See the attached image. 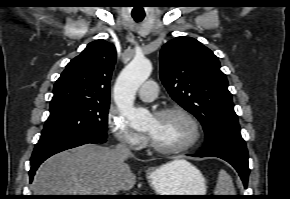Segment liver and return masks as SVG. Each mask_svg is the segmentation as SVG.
I'll return each instance as SVG.
<instances>
[{
    "instance_id": "6515ba94",
    "label": "liver",
    "mask_w": 290,
    "mask_h": 199,
    "mask_svg": "<svg viewBox=\"0 0 290 199\" xmlns=\"http://www.w3.org/2000/svg\"><path fill=\"white\" fill-rule=\"evenodd\" d=\"M115 149L85 144L47 159L33 180L34 195H117L131 190L136 176ZM181 160H174L176 166Z\"/></svg>"
}]
</instances>
